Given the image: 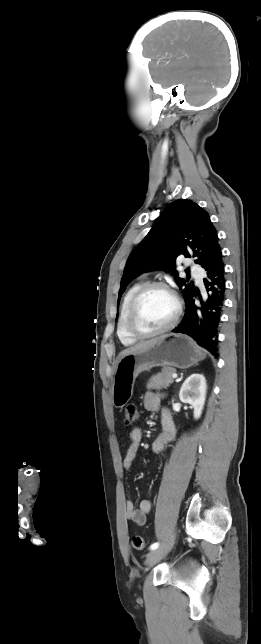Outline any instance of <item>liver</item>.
<instances>
[{"mask_svg": "<svg viewBox=\"0 0 261 644\" xmlns=\"http://www.w3.org/2000/svg\"><path fill=\"white\" fill-rule=\"evenodd\" d=\"M160 338H163V336H161V337H159V338L151 339V340L146 341V342H142V343L136 344V345H135V346H133V347H130V348H128V349H125L124 351H122V352H121V358H122V357H124V356H125V355H127V354H130V353L136 352V351H138V350H142V349H146V348H148L149 346H151L152 344H154L155 342H157Z\"/></svg>", "mask_w": 261, "mask_h": 644, "instance_id": "1", "label": "liver"}]
</instances>
